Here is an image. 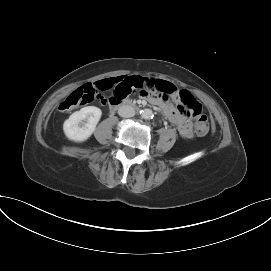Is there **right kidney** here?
Returning <instances> with one entry per match:
<instances>
[{
    "label": "right kidney",
    "instance_id": "ca27d5eb",
    "mask_svg": "<svg viewBox=\"0 0 271 271\" xmlns=\"http://www.w3.org/2000/svg\"><path fill=\"white\" fill-rule=\"evenodd\" d=\"M102 111L95 106H87L74 112L64 122L63 130L69 140L83 142L95 131Z\"/></svg>",
    "mask_w": 271,
    "mask_h": 271
}]
</instances>
